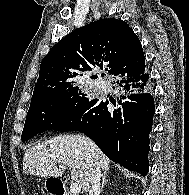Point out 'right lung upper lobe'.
<instances>
[{
	"label": "right lung upper lobe",
	"mask_w": 189,
	"mask_h": 195,
	"mask_svg": "<svg viewBox=\"0 0 189 195\" xmlns=\"http://www.w3.org/2000/svg\"><path fill=\"white\" fill-rule=\"evenodd\" d=\"M107 66L106 71H137L145 66L137 35L118 19H100L65 36L43 58L31 102L74 87L82 72Z\"/></svg>",
	"instance_id": "obj_1"
}]
</instances>
